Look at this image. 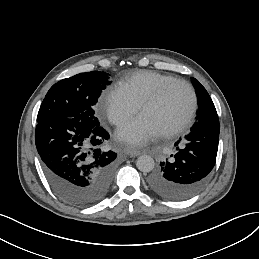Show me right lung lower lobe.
Wrapping results in <instances>:
<instances>
[{
    "instance_id": "obj_1",
    "label": "right lung lower lobe",
    "mask_w": 259,
    "mask_h": 259,
    "mask_svg": "<svg viewBox=\"0 0 259 259\" xmlns=\"http://www.w3.org/2000/svg\"><path fill=\"white\" fill-rule=\"evenodd\" d=\"M109 138L100 124L74 118H51L37 124L35 143L45 176L65 202L85 207L106 196L117 157L103 148Z\"/></svg>"
}]
</instances>
